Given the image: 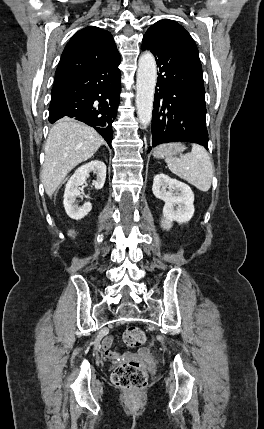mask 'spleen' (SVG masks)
<instances>
[{
  "label": "spleen",
  "instance_id": "3e777b00",
  "mask_svg": "<svg viewBox=\"0 0 264 429\" xmlns=\"http://www.w3.org/2000/svg\"><path fill=\"white\" fill-rule=\"evenodd\" d=\"M172 173L194 185L202 192H207L212 183L214 167L208 152L198 144L192 145L190 153L179 158L165 159Z\"/></svg>",
  "mask_w": 264,
  "mask_h": 429
}]
</instances>
